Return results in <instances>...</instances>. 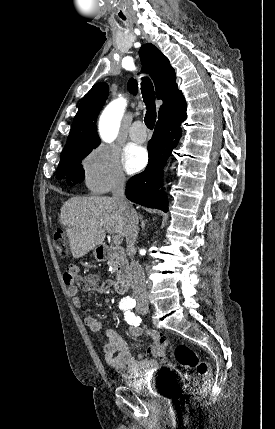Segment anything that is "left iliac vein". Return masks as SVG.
Instances as JSON below:
<instances>
[{"mask_svg":"<svg viewBox=\"0 0 275 429\" xmlns=\"http://www.w3.org/2000/svg\"><path fill=\"white\" fill-rule=\"evenodd\" d=\"M138 311H139L140 314L144 315V314H146L148 312V306H141L138 309Z\"/></svg>","mask_w":275,"mask_h":429,"instance_id":"left-iliac-vein-1","label":"left iliac vein"}]
</instances>
